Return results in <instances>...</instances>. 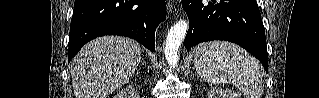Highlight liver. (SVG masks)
I'll list each match as a JSON object with an SVG mask.
<instances>
[{"instance_id": "1", "label": "liver", "mask_w": 319, "mask_h": 98, "mask_svg": "<svg viewBox=\"0 0 319 98\" xmlns=\"http://www.w3.org/2000/svg\"><path fill=\"white\" fill-rule=\"evenodd\" d=\"M141 60L140 44L106 36L87 43L71 62L75 98H107L129 81Z\"/></svg>"}]
</instances>
